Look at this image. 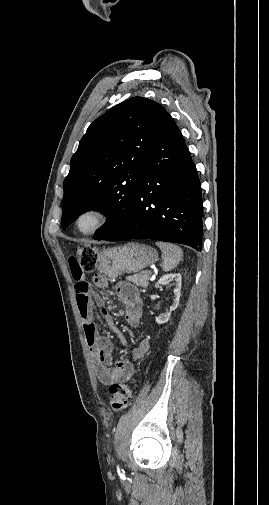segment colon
<instances>
[{"label":"colon","instance_id":"1","mask_svg":"<svg viewBox=\"0 0 269 505\" xmlns=\"http://www.w3.org/2000/svg\"><path fill=\"white\" fill-rule=\"evenodd\" d=\"M98 250L93 245H79L76 255L70 259H79L84 274H92L97 265ZM133 384L113 383L109 387L110 405L114 411L126 408L133 399Z\"/></svg>","mask_w":269,"mask_h":505}]
</instances>
